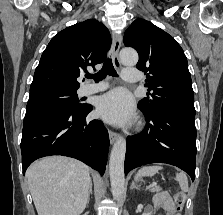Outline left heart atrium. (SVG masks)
I'll return each instance as SVG.
<instances>
[{"label": "left heart atrium", "instance_id": "left-heart-atrium-1", "mask_svg": "<svg viewBox=\"0 0 223 215\" xmlns=\"http://www.w3.org/2000/svg\"><path fill=\"white\" fill-rule=\"evenodd\" d=\"M99 115L110 123L122 125L133 117L134 102L125 89H115L98 100Z\"/></svg>", "mask_w": 223, "mask_h": 215}]
</instances>
